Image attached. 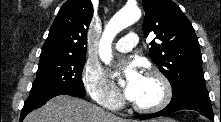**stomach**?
Returning a JSON list of instances; mask_svg holds the SVG:
<instances>
[{
    "label": "stomach",
    "mask_w": 221,
    "mask_h": 122,
    "mask_svg": "<svg viewBox=\"0 0 221 122\" xmlns=\"http://www.w3.org/2000/svg\"><path fill=\"white\" fill-rule=\"evenodd\" d=\"M151 122H175V121L172 119H169V118H159V119H155Z\"/></svg>",
    "instance_id": "1"
}]
</instances>
